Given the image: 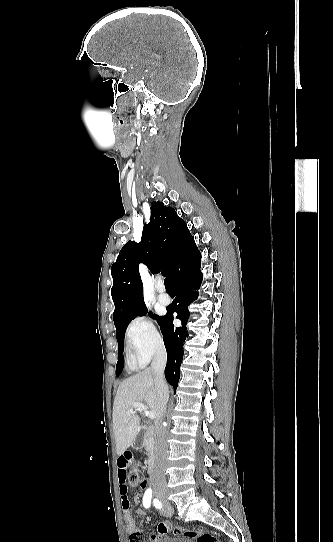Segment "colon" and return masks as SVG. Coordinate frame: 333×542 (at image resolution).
Listing matches in <instances>:
<instances>
[{
    "label": "colon",
    "mask_w": 333,
    "mask_h": 542,
    "mask_svg": "<svg viewBox=\"0 0 333 542\" xmlns=\"http://www.w3.org/2000/svg\"><path fill=\"white\" fill-rule=\"evenodd\" d=\"M131 452V451H128ZM132 458H133V453ZM127 481L131 486L138 487L146 481V477L143 474L141 468L132 463L131 475L128 477ZM158 534L164 535L167 532L171 534L183 535V537L190 542H227L224 536H216L211 532L199 531L197 529H177L169 526L165 521H161L158 525ZM148 536H145L143 531H134L132 534V539L130 542H147Z\"/></svg>",
    "instance_id": "obj_1"
}]
</instances>
